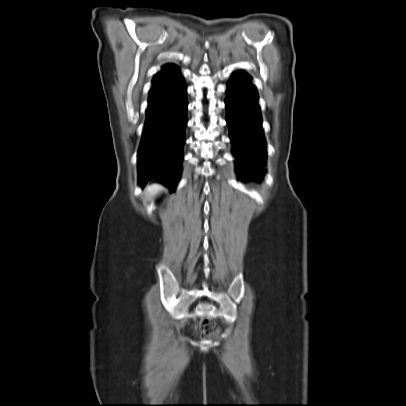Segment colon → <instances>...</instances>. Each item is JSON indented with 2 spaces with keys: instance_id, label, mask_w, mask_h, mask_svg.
<instances>
[{
  "instance_id": "colon-1",
  "label": "colon",
  "mask_w": 406,
  "mask_h": 406,
  "mask_svg": "<svg viewBox=\"0 0 406 406\" xmlns=\"http://www.w3.org/2000/svg\"><path fill=\"white\" fill-rule=\"evenodd\" d=\"M199 330L203 337L210 338L218 334V327L209 318H202L199 323Z\"/></svg>"
}]
</instances>
